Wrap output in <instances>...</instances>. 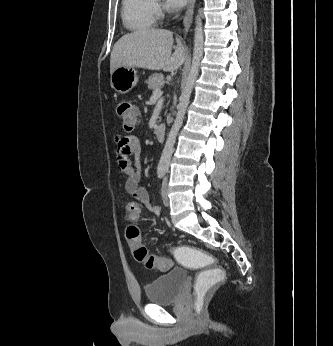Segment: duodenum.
<instances>
[{
	"mask_svg": "<svg viewBox=\"0 0 333 346\" xmlns=\"http://www.w3.org/2000/svg\"><path fill=\"white\" fill-rule=\"evenodd\" d=\"M166 134V126L164 124H159L155 128V135L159 141H163Z\"/></svg>",
	"mask_w": 333,
	"mask_h": 346,
	"instance_id": "1",
	"label": "duodenum"
}]
</instances>
